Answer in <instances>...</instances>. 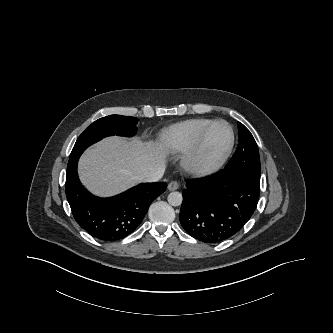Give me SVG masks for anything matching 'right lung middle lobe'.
I'll list each match as a JSON object with an SVG mask.
<instances>
[{
  "label": "right lung middle lobe",
  "mask_w": 333,
  "mask_h": 333,
  "mask_svg": "<svg viewBox=\"0 0 333 333\" xmlns=\"http://www.w3.org/2000/svg\"><path fill=\"white\" fill-rule=\"evenodd\" d=\"M137 122L138 119L135 117L122 115H109L96 120L78 137L70 154L67 167L76 163L87 147L106 136H133L137 132Z\"/></svg>",
  "instance_id": "right-lung-middle-lobe-1"
}]
</instances>
